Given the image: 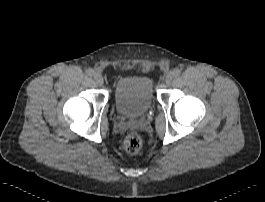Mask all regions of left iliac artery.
Wrapping results in <instances>:
<instances>
[{
  "label": "left iliac artery",
  "instance_id": "1",
  "mask_svg": "<svg viewBox=\"0 0 265 202\" xmlns=\"http://www.w3.org/2000/svg\"><path fill=\"white\" fill-rule=\"evenodd\" d=\"M173 72H174L175 76H179L181 74V70L179 68H175L173 70Z\"/></svg>",
  "mask_w": 265,
  "mask_h": 202
}]
</instances>
